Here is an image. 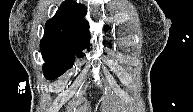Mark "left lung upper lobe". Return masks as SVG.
I'll use <instances>...</instances> for the list:
<instances>
[{
    "mask_svg": "<svg viewBox=\"0 0 193 112\" xmlns=\"http://www.w3.org/2000/svg\"><path fill=\"white\" fill-rule=\"evenodd\" d=\"M105 30H108V27H107V26L105 27Z\"/></svg>",
    "mask_w": 193,
    "mask_h": 112,
    "instance_id": "1",
    "label": "left lung upper lobe"
}]
</instances>
